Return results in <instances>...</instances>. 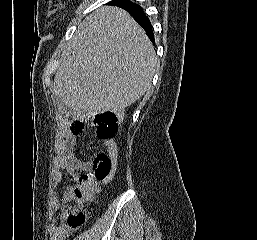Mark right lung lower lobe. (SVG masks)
<instances>
[{"label":"right lung lower lobe","mask_w":257,"mask_h":240,"mask_svg":"<svg viewBox=\"0 0 257 240\" xmlns=\"http://www.w3.org/2000/svg\"><path fill=\"white\" fill-rule=\"evenodd\" d=\"M116 6H119L128 11L134 17L137 23L140 24V26L148 33L150 40L154 43V35L149 18L145 15L142 8L138 4L126 0L124 5Z\"/></svg>","instance_id":"98d812e1"}]
</instances>
